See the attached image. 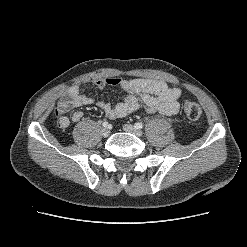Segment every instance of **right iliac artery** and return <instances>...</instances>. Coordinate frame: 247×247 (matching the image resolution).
Returning <instances> with one entry per match:
<instances>
[{
	"instance_id": "1",
	"label": "right iliac artery",
	"mask_w": 247,
	"mask_h": 247,
	"mask_svg": "<svg viewBox=\"0 0 247 247\" xmlns=\"http://www.w3.org/2000/svg\"><path fill=\"white\" fill-rule=\"evenodd\" d=\"M108 125H109L108 122H106V121L103 122V126H104V127H107Z\"/></svg>"
}]
</instances>
